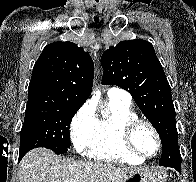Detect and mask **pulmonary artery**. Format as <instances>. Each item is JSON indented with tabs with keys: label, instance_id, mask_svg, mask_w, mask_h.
<instances>
[{
	"label": "pulmonary artery",
	"instance_id": "1",
	"mask_svg": "<svg viewBox=\"0 0 196 182\" xmlns=\"http://www.w3.org/2000/svg\"><path fill=\"white\" fill-rule=\"evenodd\" d=\"M108 97L109 99H118L129 103L131 102V95L127 91L118 87H111L108 90Z\"/></svg>",
	"mask_w": 196,
	"mask_h": 182
}]
</instances>
